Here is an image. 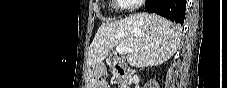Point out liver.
<instances>
[{
  "instance_id": "liver-1",
  "label": "liver",
  "mask_w": 227,
  "mask_h": 88,
  "mask_svg": "<svg viewBox=\"0 0 227 88\" xmlns=\"http://www.w3.org/2000/svg\"><path fill=\"white\" fill-rule=\"evenodd\" d=\"M180 27L167 19L137 13L102 24L90 45L88 64L100 65L118 45L127 47V62L136 67L160 65L169 60L180 43Z\"/></svg>"
}]
</instances>
